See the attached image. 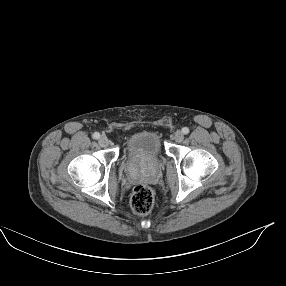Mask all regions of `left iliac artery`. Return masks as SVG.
<instances>
[{
  "mask_svg": "<svg viewBox=\"0 0 286 286\" xmlns=\"http://www.w3.org/2000/svg\"><path fill=\"white\" fill-rule=\"evenodd\" d=\"M182 132H183L184 134H188V133H189V128H188V127L182 128Z\"/></svg>",
  "mask_w": 286,
  "mask_h": 286,
  "instance_id": "1",
  "label": "left iliac artery"
}]
</instances>
